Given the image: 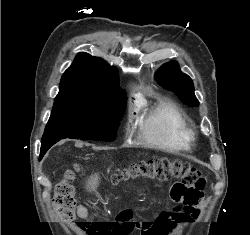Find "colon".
<instances>
[{
	"label": "colon",
	"mask_w": 250,
	"mask_h": 235,
	"mask_svg": "<svg viewBox=\"0 0 250 235\" xmlns=\"http://www.w3.org/2000/svg\"><path fill=\"white\" fill-rule=\"evenodd\" d=\"M78 167L67 169L55 188L53 205L55 212L66 222L76 221L77 201L74 195L72 180L75 178ZM146 176L159 181L172 178L178 179L171 188V200L175 203L174 209H180V204L197 206L200 204L206 180L202 172L190 163L176 159L159 158L145 160L131 165L123 174L114 175L111 182L120 179ZM87 230L90 235H131L135 230H141L142 235H163L165 225L156 220L140 224L132 219L128 211H121L110 219L76 222Z\"/></svg>",
	"instance_id": "5ec220e1"
}]
</instances>
